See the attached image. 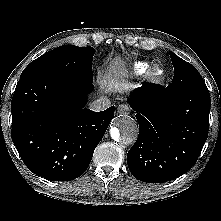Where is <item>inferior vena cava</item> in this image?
Returning <instances> with one entry per match:
<instances>
[{
	"label": "inferior vena cava",
	"instance_id": "602c4592",
	"mask_svg": "<svg viewBox=\"0 0 221 221\" xmlns=\"http://www.w3.org/2000/svg\"><path fill=\"white\" fill-rule=\"evenodd\" d=\"M111 105V101L106 98V97H102V98H99L95 101H93L91 104H90V109L92 111H103L105 109H107L108 107H110Z\"/></svg>",
	"mask_w": 221,
	"mask_h": 221
}]
</instances>
